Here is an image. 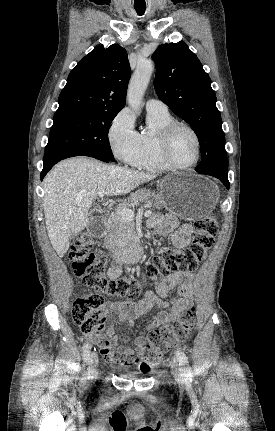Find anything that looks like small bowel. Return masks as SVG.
<instances>
[{
	"mask_svg": "<svg viewBox=\"0 0 275 431\" xmlns=\"http://www.w3.org/2000/svg\"><path fill=\"white\" fill-rule=\"evenodd\" d=\"M150 225L157 229L160 236L171 234L172 243L176 248L183 249L189 245L193 227L189 223L178 224L177 220L168 217L164 220L153 218ZM122 269L119 265H112L108 270V277H120ZM194 274L191 272H175L157 285L156 293H147L140 301L118 300L106 303L104 306L107 323L104 330L88 336V340L100 347L101 354L112 364L137 365L135 357L141 356L145 350L146 333L153 329H161L180 319L189 309L194 295ZM176 292L177 297H169ZM154 308L158 313L151 317L146 328L133 337H127L120 342L116 321L132 326L134 321ZM127 342H131L128 345Z\"/></svg>",
	"mask_w": 275,
	"mask_h": 431,
	"instance_id": "c3829d8e",
	"label": "small bowel"
}]
</instances>
